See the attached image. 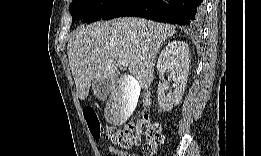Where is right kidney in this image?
Listing matches in <instances>:
<instances>
[{
    "label": "right kidney",
    "instance_id": "right-kidney-1",
    "mask_svg": "<svg viewBox=\"0 0 261 156\" xmlns=\"http://www.w3.org/2000/svg\"><path fill=\"white\" fill-rule=\"evenodd\" d=\"M189 63V47L183 41H172L161 51L157 61L160 80L163 79L165 71L169 70L170 79L174 82V91L169 94H165V87L161 81L159 82L157 98L163 111L172 110L182 99L187 84Z\"/></svg>",
    "mask_w": 261,
    "mask_h": 156
}]
</instances>
